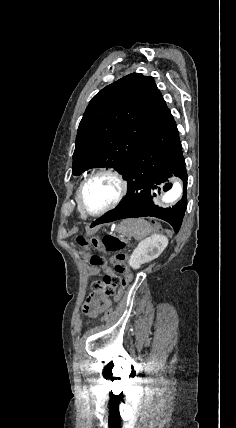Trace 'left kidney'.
Listing matches in <instances>:
<instances>
[{
	"mask_svg": "<svg viewBox=\"0 0 236 428\" xmlns=\"http://www.w3.org/2000/svg\"><path fill=\"white\" fill-rule=\"evenodd\" d=\"M166 246H168V240L165 236H161V234H153L150 238H145V240H142L138 244L132 256H130L129 266L133 270H138L141 264H147V262L156 260L162 254L163 250H165Z\"/></svg>",
	"mask_w": 236,
	"mask_h": 428,
	"instance_id": "left-kidney-1",
	"label": "left kidney"
}]
</instances>
